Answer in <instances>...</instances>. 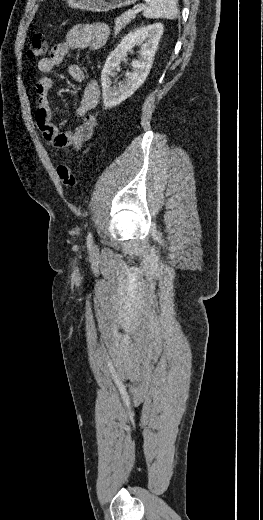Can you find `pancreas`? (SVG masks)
Returning a JSON list of instances; mask_svg holds the SVG:
<instances>
[{
  "mask_svg": "<svg viewBox=\"0 0 263 520\" xmlns=\"http://www.w3.org/2000/svg\"><path fill=\"white\" fill-rule=\"evenodd\" d=\"M135 18V14L131 12H125L120 17L115 19L114 33L118 34L127 24Z\"/></svg>",
  "mask_w": 263,
  "mask_h": 520,
  "instance_id": "obj_1",
  "label": "pancreas"
}]
</instances>
